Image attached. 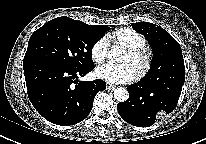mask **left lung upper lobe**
<instances>
[{
  "label": "left lung upper lobe",
  "mask_w": 206,
  "mask_h": 144,
  "mask_svg": "<svg viewBox=\"0 0 206 144\" xmlns=\"http://www.w3.org/2000/svg\"><path fill=\"white\" fill-rule=\"evenodd\" d=\"M132 27L146 37L153 51L151 68L139 81L141 84H156L168 76L173 77L175 73L185 72L181 47L166 30L145 22L133 23Z\"/></svg>",
  "instance_id": "left-lung-upper-lobe-1"
}]
</instances>
